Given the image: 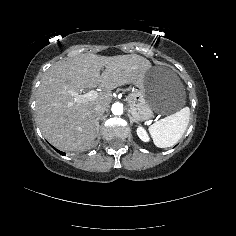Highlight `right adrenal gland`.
<instances>
[{
    "label": "right adrenal gland",
    "instance_id": "2a0ac1e0",
    "mask_svg": "<svg viewBox=\"0 0 236 236\" xmlns=\"http://www.w3.org/2000/svg\"><path fill=\"white\" fill-rule=\"evenodd\" d=\"M99 119H100V118H99ZM99 128H100V124H99V122H97V133H96V137L99 136Z\"/></svg>",
    "mask_w": 236,
    "mask_h": 236
}]
</instances>
